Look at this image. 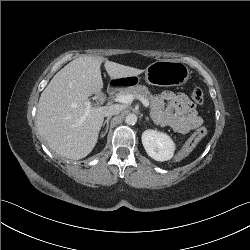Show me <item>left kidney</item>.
<instances>
[{"instance_id":"1","label":"left kidney","mask_w":250,"mask_h":250,"mask_svg":"<svg viewBox=\"0 0 250 250\" xmlns=\"http://www.w3.org/2000/svg\"><path fill=\"white\" fill-rule=\"evenodd\" d=\"M141 138L146 153L152 159L162 162L173 157L175 143L166 133L149 129L142 133Z\"/></svg>"}]
</instances>
